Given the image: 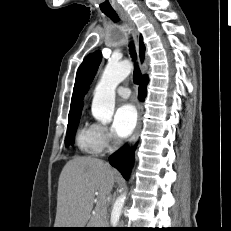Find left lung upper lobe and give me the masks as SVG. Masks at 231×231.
Masks as SVG:
<instances>
[{"instance_id": "5c2ea615", "label": "left lung upper lobe", "mask_w": 231, "mask_h": 231, "mask_svg": "<svg viewBox=\"0 0 231 231\" xmlns=\"http://www.w3.org/2000/svg\"><path fill=\"white\" fill-rule=\"evenodd\" d=\"M102 59V55L100 51H96L95 53H93L91 61H90V66H89V70H88V77H87V85H86V89L87 87L91 84L97 69L100 65Z\"/></svg>"}]
</instances>
